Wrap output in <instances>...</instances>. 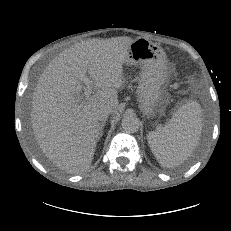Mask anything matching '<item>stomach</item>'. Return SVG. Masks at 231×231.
<instances>
[{
    "instance_id": "1",
    "label": "stomach",
    "mask_w": 231,
    "mask_h": 231,
    "mask_svg": "<svg viewBox=\"0 0 231 231\" xmlns=\"http://www.w3.org/2000/svg\"><path fill=\"white\" fill-rule=\"evenodd\" d=\"M125 63L141 67L137 89L139 108L145 116H154L165 98L169 80L164 49L138 37L130 44Z\"/></svg>"
}]
</instances>
